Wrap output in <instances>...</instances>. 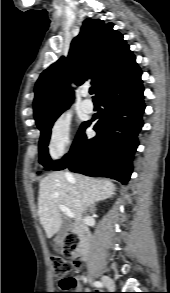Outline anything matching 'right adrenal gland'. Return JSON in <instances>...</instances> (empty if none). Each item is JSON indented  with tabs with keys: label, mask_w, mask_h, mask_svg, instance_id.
<instances>
[{
	"label": "right adrenal gland",
	"mask_w": 170,
	"mask_h": 293,
	"mask_svg": "<svg viewBox=\"0 0 170 293\" xmlns=\"http://www.w3.org/2000/svg\"><path fill=\"white\" fill-rule=\"evenodd\" d=\"M95 209V206L93 205L92 207H91V210L93 211Z\"/></svg>",
	"instance_id": "right-adrenal-gland-1"
}]
</instances>
